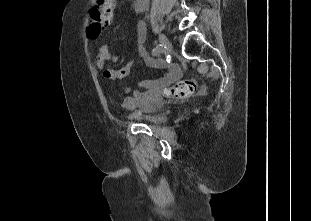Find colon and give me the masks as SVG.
<instances>
[{
	"label": "colon",
	"mask_w": 311,
	"mask_h": 221,
	"mask_svg": "<svg viewBox=\"0 0 311 221\" xmlns=\"http://www.w3.org/2000/svg\"><path fill=\"white\" fill-rule=\"evenodd\" d=\"M112 1L113 0H96L95 5H91L89 12L92 18V25H88L86 39H99V32L103 28H108L112 20ZM197 83L194 77L183 78L170 86L166 94L169 98L179 99L187 98L197 92Z\"/></svg>",
	"instance_id": "5ec220e1"
}]
</instances>
